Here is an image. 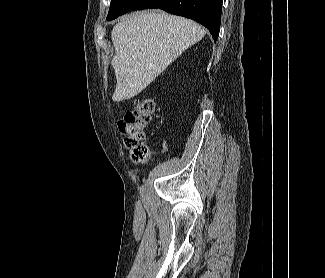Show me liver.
I'll return each instance as SVG.
<instances>
[{
	"label": "liver",
	"mask_w": 325,
	"mask_h": 278,
	"mask_svg": "<svg viewBox=\"0 0 325 278\" xmlns=\"http://www.w3.org/2000/svg\"><path fill=\"white\" fill-rule=\"evenodd\" d=\"M206 31L196 22L162 11L136 12L111 32L116 88L112 99H130L142 92Z\"/></svg>",
	"instance_id": "1"
}]
</instances>
